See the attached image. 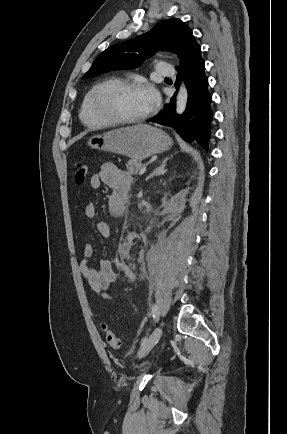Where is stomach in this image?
<instances>
[{"label": "stomach", "mask_w": 287, "mask_h": 434, "mask_svg": "<svg viewBox=\"0 0 287 434\" xmlns=\"http://www.w3.org/2000/svg\"><path fill=\"white\" fill-rule=\"evenodd\" d=\"M87 145L92 149L142 160L167 151L173 145V141L160 129L139 124L93 135L88 138Z\"/></svg>", "instance_id": "obj_1"}]
</instances>
